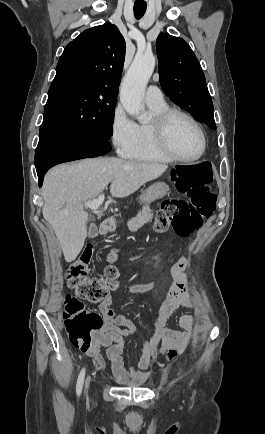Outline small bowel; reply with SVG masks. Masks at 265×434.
<instances>
[{
    "mask_svg": "<svg viewBox=\"0 0 265 434\" xmlns=\"http://www.w3.org/2000/svg\"><path fill=\"white\" fill-rule=\"evenodd\" d=\"M188 266V258L180 256L170 269L172 278L171 284L165 286L162 303L155 313V331L152 337L144 339L142 353L137 362L125 367L123 351L125 349V337L136 332L135 323L124 313L111 308L112 297L100 303L98 313L104 320L103 327L95 332L92 337V344L87 352L82 355H89L94 362L100 365L103 362L100 352L106 349V356L111 363V370L117 384L123 387L126 382L131 387H137L142 381L144 373L151 368L153 361L169 347L170 341L176 342V349L179 352L185 351L191 344L196 330V318L190 314H183L178 319L182 331L170 329L166 326L167 320L179 308H191L193 296L190 291L189 281L185 270ZM159 284L150 282L127 286L124 291L128 293H146L155 289ZM131 378V379H130ZM130 379V380H129Z\"/></svg>",
    "mask_w": 265,
    "mask_h": 434,
    "instance_id": "c3829d8e",
    "label": "small bowel"
}]
</instances>
